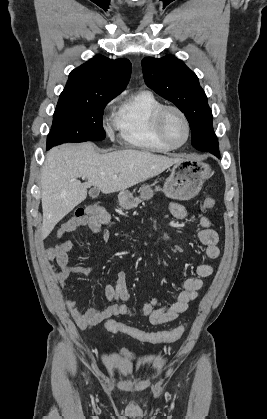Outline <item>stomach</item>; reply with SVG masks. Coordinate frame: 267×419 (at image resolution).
<instances>
[{"label": "stomach", "instance_id": "0dacf381", "mask_svg": "<svg viewBox=\"0 0 267 419\" xmlns=\"http://www.w3.org/2000/svg\"><path fill=\"white\" fill-rule=\"evenodd\" d=\"M212 174L209 164L196 158H181L172 167L171 174L164 183L163 192L172 199L189 200L200 192L204 181ZM140 192L144 200L153 196V191L148 185H143ZM134 199L133 194L128 190H122L118 194L119 205L126 210L134 207Z\"/></svg>", "mask_w": 267, "mask_h": 419}]
</instances>
